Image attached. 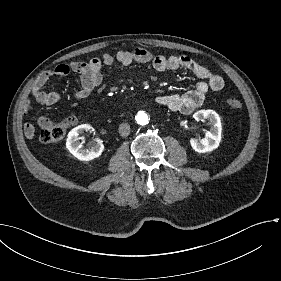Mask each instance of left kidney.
Wrapping results in <instances>:
<instances>
[{"mask_svg": "<svg viewBox=\"0 0 281 281\" xmlns=\"http://www.w3.org/2000/svg\"><path fill=\"white\" fill-rule=\"evenodd\" d=\"M195 121L207 120L211 126L210 131L205 134V139H202L200 143L191 141V147L197 153H208L217 149L221 141V120L219 115L213 110H199L194 115Z\"/></svg>", "mask_w": 281, "mask_h": 281, "instance_id": "5707ae66", "label": "left kidney"}]
</instances>
